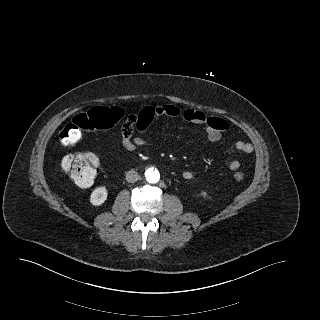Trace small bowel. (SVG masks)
Returning <instances> with one entry per match:
<instances>
[{
  "label": "small bowel",
  "mask_w": 320,
  "mask_h": 320,
  "mask_svg": "<svg viewBox=\"0 0 320 320\" xmlns=\"http://www.w3.org/2000/svg\"><path fill=\"white\" fill-rule=\"evenodd\" d=\"M161 115H167L170 117H182L184 120L194 123L205 125V131L207 137L212 142H218L222 138L223 132L228 129V123L220 118L208 117L203 112L195 109L181 110L174 105H162V106H145L141 108L137 113L129 116L128 120L123 124L121 129V143L122 146L130 152H133L137 147L148 144V140L145 133L149 125ZM139 117L148 118L150 121L148 125L143 127H137L135 119ZM136 127L137 132L134 133ZM236 150L244 155H248L253 151V146L244 141H237L235 143ZM240 162L233 160L229 163V168L232 171L238 170ZM183 178L187 181H191L194 178L193 172L186 170L183 172Z\"/></svg>",
  "instance_id": "small-bowel-1"
}]
</instances>
